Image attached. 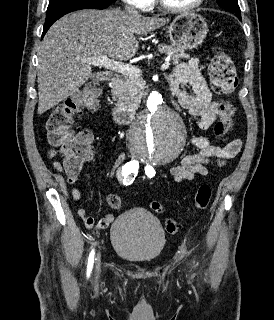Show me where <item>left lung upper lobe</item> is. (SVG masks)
<instances>
[{
  "label": "left lung upper lobe",
  "instance_id": "1",
  "mask_svg": "<svg viewBox=\"0 0 274 320\" xmlns=\"http://www.w3.org/2000/svg\"><path fill=\"white\" fill-rule=\"evenodd\" d=\"M218 5L231 13H241L237 0H216Z\"/></svg>",
  "mask_w": 274,
  "mask_h": 320
}]
</instances>
